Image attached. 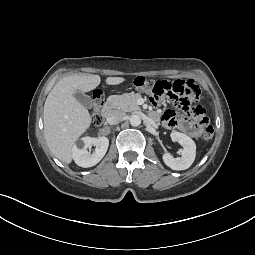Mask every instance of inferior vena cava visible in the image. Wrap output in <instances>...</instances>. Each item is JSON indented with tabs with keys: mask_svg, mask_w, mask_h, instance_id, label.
<instances>
[{
	"mask_svg": "<svg viewBox=\"0 0 255 255\" xmlns=\"http://www.w3.org/2000/svg\"><path fill=\"white\" fill-rule=\"evenodd\" d=\"M125 118V113L122 111H113L111 112L107 117V122L110 125L117 124L121 121H123Z\"/></svg>",
	"mask_w": 255,
	"mask_h": 255,
	"instance_id": "obj_1",
	"label": "inferior vena cava"
}]
</instances>
